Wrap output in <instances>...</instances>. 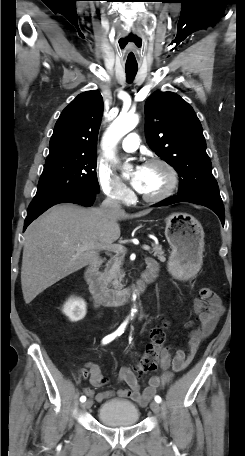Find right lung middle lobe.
I'll list each match as a JSON object with an SVG mask.
<instances>
[{"mask_svg": "<svg viewBox=\"0 0 245 456\" xmlns=\"http://www.w3.org/2000/svg\"><path fill=\"white\" fill-rule=\"evenodd\" d=\"M96 155L45 163L33 201L61 194L98 193Z\"/></svg>", "mask_w": 245, "mask_h": 456, "instance_id": "1", "label": "right lung middle lobe"}]
</instances>
